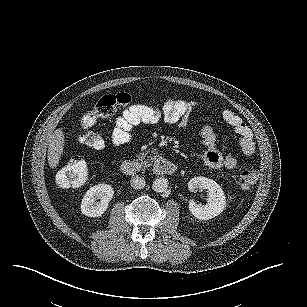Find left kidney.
Segmentation results:
<instances>
[{
  "mask_svg": "<svg viewBox=\"0 0 307 307\" xmlns=\"http://www.w3.org/2000/svg\"><path fill=\"white\" fill-rule=\"evenodd\" d=\"M190 192L198 190H207V203L202 205L194 200L189 201V211L191 214L200 220H209L223 212L226 206V197L220 185L214 180L199 176L194 177L188 182Z\"/></svg>",
  "mask_w": 307,
  "mask_h": 307,
  "instance_id": "left-kidney-1",
  "label": "left kidney"
}]
</instances>
